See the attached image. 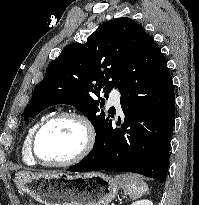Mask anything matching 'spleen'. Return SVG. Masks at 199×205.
Here are the masks:
<instances>
[{
    "instance_id": "spleen-1",
    "label": "spleen",
    "mask_w": 199,
    "mask_h": 205,
    "mask_svg": "<svg viewBox=\"0 0 199 205\" xmlns=\"http://www.w3.org/2000/svg\"><path fill=\"white\" fill-rule=\"evenodd\" d=\"M115 180L132 199L140 198L142 195L149 192L148 185L137 176L119 174L115 176Z\"/></svg>"
}]
</instances>
